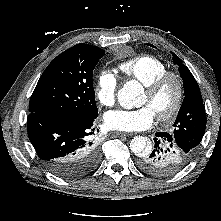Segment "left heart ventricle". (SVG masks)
I'll use <instances>...</instances> for the list:
<instances>
[{
    "mask_svg": "<svg viewBox=\"0 0 221 221\" xmlns=\"http://www.w3.org/2000/svg\"><path fill=\"white\" fill-rule=\"evenodd\" d=\"M176 89L173 83L167 84L156 96H150L146 91L143 93L140 105L149 106L155 115L169 109L175 98Z\"/></svg>",
    "mask_w": 221,
    "mask_h": 221,
    "instance_id": "1",
    "label": "left heart ventricle"
}]
</instances>
